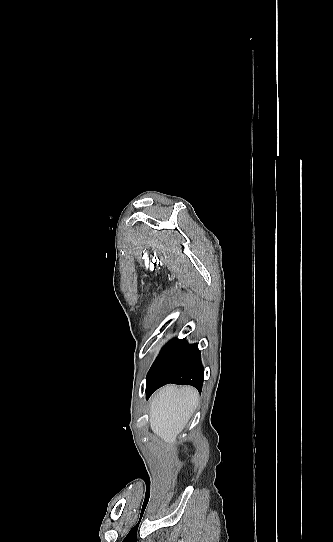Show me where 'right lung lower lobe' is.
<instances>
[{"label":"right lung lower lobe","mask_w":333,"mask_h":542,"mask_svg":"<svg viewBox=\"0 0 333 542\" xmlns=\"http://www.w3.org/2000/svg\"><path fill=\"white\" fill-rule=\"evenodd\" d=\"M204 368L198 344L174 338L160 351L146 377V395L168 383L192 385L201 392Z\"/></svg>","instance_id":"obj_1"}]
</instances>
